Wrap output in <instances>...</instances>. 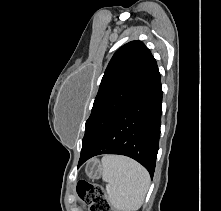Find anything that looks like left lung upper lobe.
<instances>
[{
  "instance_id": "left-lung-upper-lobe-1",
  "label": "left lung upper lobe",
  "mask_w": 221,
  "mask_h": 211,
  "mask_svg": "<svg viewBox=\"0 0 221 211\" xmlns=\"http://www.w3.org/2000/svg\"><path fill=\"white\" fill-rule=\"evenodd\" d=\"M156 60L141 41L119 48L110 60L86 121L81 157L86 155L123 108L137 95Z\"/></svg>"
}]
</instances>
